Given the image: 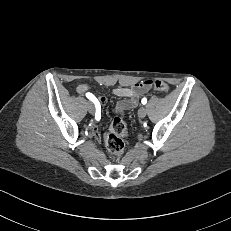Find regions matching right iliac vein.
I'll use <instances>...</instances> for the list:
<instances>
[{
	"instance_id": "right-iliac-vein-1",
	"label": "right iliac vein",
	"mask_w": 231,
	"mask_h": 231,
	"mask_svg": "<svg viewBox=\"0 0 231 231\" xmlns=\"http://www.w3.org/2000/svg\"><path fill=\"white\" fill-rule=\"evenodd\" d=\"M88 111L90 114H94L95 112V106L92 102H88Z\"/></svg>"
}]
</instances>
